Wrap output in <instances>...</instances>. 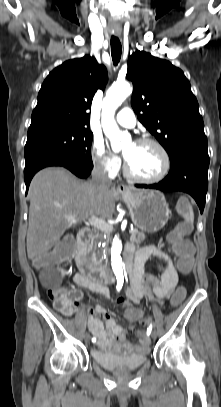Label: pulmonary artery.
<instances>
[{
  "label": "pulmonary artery",
  "mask_w": 221,
  "mask_h": 407,
  "mask_svg": "<svg viewBox=\"0 0 221 407\" xmlns=\"http://www.w3.org/2000/svg\"><path fill=\"white\" fill-rule=\"evenodd\" d=\"M116 122L123 127L132 128L136 124V118L133 111L130 108L125 107L117 114Z\"/></svg>",
  "instance_id": "1"
}]
</instances>
